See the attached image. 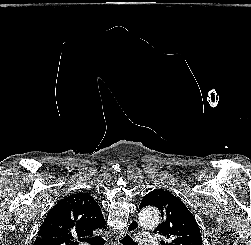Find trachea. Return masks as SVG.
I'll return each mask as SVG.
<instances>
[{
    "label": "trachea",
    "mask_w": 251,
    "mask_h": 245,
    "mask_svg": "<svg viewBox=\"0 0 251 245\" xmlns=\"http://www.w3.org/2000/svg\"><path fill=\"white\" fill-rule=\"evenodd\" d=\"M84 240V239H83ZM91 245H104L105 240L100 236H95L92 238L85 239ZM123 245H137L129 235H125L124 238L120 240Z\"/></svg>",
    "instance_id": "3493384b"
}]
</instances>
